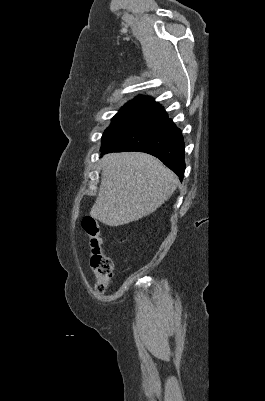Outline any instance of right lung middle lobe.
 Masks as SVG:
<instances>
[{"instance_id":"dd1d6c3e","label":"right lung middle lobe","mask_w":265,"mask_h":401,"mask_svg":"<svg viewBox=\"0 0 265 401\" xmlns=\"http://www.w3.org/2000/svg\"><path fill=\"white\" fill-rule=\"evenodd\" d=\"M162 107L149 104L125 105L112 119L110 126L102 136V143L111 141L118 134L131 126L150 118L162 111Z\"/></svg>"}]
</instances>
